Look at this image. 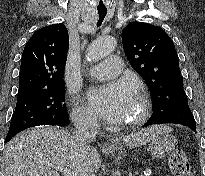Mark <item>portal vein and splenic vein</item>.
<instances>
[{
  "label": "portal vein and splenic vein",
  "mask_w": 205,
  "mask_h": 176,
  "mask_svg": "<svg viewBox=\"0 0 205 176\" xmlns=\"http://www.w3.org/2000/svg\"><path fill=\"white\" fill-rule=\"evenodd\" d=\"M49 166L53 167L54 169H56L57 171H60L64 174V176H90L88 174H81L78 173L76 171H72L71 169L67 168V167H63V166H57V165H53L50 163H47Z\"/></svg>",
  "instance_id": "18ae733b"
}]
</instances>
